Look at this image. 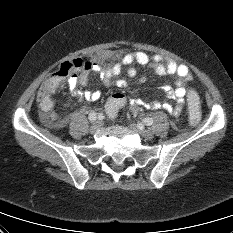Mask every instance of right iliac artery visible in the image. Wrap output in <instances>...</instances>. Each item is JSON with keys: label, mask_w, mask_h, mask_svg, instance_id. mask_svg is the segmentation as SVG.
I'll return each instance as SVG.
<instances>
[{"label": "right iliac artery", "mask_w": 233, "mask_h": 233, "mask_svg": "<svg viewBox=\"0 0 233 233\" xmlns=\"http://www.w3.org/2000/svg\"><path fill=\"white\" fill-rule=\"evenodd\" d=\"M88 118L90 121H95L97 119V114L95 112H91Z\"/></svg>", "instance_id": "right-iliac-artery-1"}]
</instances>
